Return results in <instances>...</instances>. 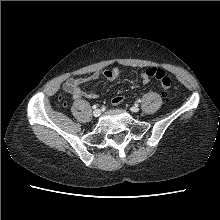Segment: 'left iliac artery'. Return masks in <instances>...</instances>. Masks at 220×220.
I'll use <instances>...</instances> for the list:
<instances>
[{"label": "left iliac artery", "mask_w": 220, "mask_h": 220, "mask_svg": "<svg viewBox=\"0 0 220 220\" xmlns=\"http://www.w3.org/2000/svg\"><path fill=\"white\" fill-rule=\"evenodd\" d=\"M137 102L140 103V102H141V99H138Z\"/></svg>", "instance_id": "44dca946"}]
</instances>
